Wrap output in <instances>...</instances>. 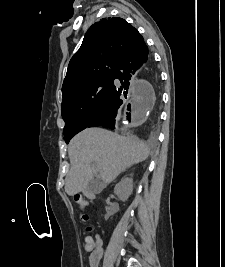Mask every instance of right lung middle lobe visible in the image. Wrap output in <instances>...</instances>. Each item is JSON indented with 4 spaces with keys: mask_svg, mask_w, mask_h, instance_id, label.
Here are the masks:
<instances>
[{
    "mask_svg": "<svg viewBox=\"0 0 225 267\" xmlns=\"http://www.w3.org/2000/svg\"><path fill=\"white\" fill-rule=\"evenodd\" d=\"M114 86V75H109L91 80L63 94L61 111L65 121L63 134L66 143L87 127L107 102Z\"/></svg>",
    "mask_w": 225,
    "mask_h": 267,
    "instance_id": "dd1d6c3e",
    "label": "right lung middle lobe"
}]
</instances>
